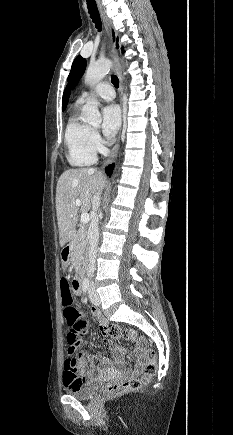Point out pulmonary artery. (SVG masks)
<instances>
[{
	"label": "pulmonary artery",
	"instance_id": "e3ab8cb5",
	"mask_svg": "<svg viewBox=\"0 0 233 435\" xmlns=\"http://www.w3.org/2000/svg\"><path fill=\"white\" fill-rule=\"evenodd\" d=\"M90 97H99L104 100L110 101L114 98V92L111 85L107 83H98L93 89L84 91L77 99V102L79 104H82Z\"/></svg>",
	"mask_w": 233,
	"mask_h": 435
}]
</instances>
